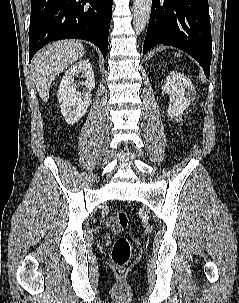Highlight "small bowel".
Returning <instances> with one entry per match:
<instances>
[{
	"label": "small bowel",
	"mask_w": 239,
	"mask_h": 303,
	"mask_svg": "<svg viewBox=\"0 0 239 303\" xmlns=\"http://www.w3.org/2000/svg\"><path fill=\"white\" fill-rule=\"evenodd\" d=\"M108 226H110L111 228H116V223L113 220H108L107 222Z\"/></svg>",
	"instance_id": "obj_1"
}]
</instances>
